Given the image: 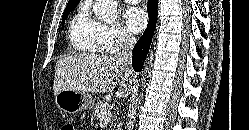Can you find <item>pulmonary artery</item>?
<instances>
[{
    "label": "pulmonary artery",
    "instance_id": "1",
    "mask_svg": "<svg viewBox=\"0 0 249 130\" xmlns=\"http://www.w3.org/2000/svg\"><path fill=\"white\" fill-rule=\"evenodd\" d=\"M125 1L130 4H135L138 3L140 0H125Z\"/></svg>",
    "mask_w": 249,
    "mask_h": 130
}]
</instances>
